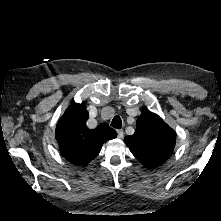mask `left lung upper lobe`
Here are the masks:
<instances>
[{
  "mask_svg": "<svg viewBox=\"0 0 221 221\" xmlns=\"http://www.w3.org/2000/svg\"><path fill=\"white\" fill-rule=\"evenodd\" d=\"M176 134L158 115L144 111L136 122V131L124 142L132 154L147 168L164 163L171 155Z\"/></svg>",
  "mask_w": 221,
  "mask_h": 221,
  "instance_id": "5c2ea615",
  "label": "left lung upper lobe"
}]
</instances>
